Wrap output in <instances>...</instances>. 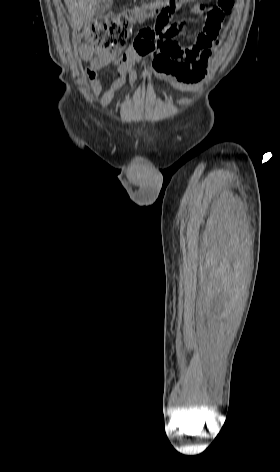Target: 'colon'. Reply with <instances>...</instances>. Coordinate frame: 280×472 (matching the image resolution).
<instances>
[{
  "label": "colon",
  "instance_id": "1",
  "mask_svg": "<svg viewBox=\"0 0 280 472\" xmlns=\"http://www.w3.org/2000/svg\"><path fill=\"white\" fill-rule=\"evenodd\" d=\"M182 3L183 0H154L138 10L95 18L86 23L77 36V42L116 56L124 50L132 23L136 19L156 17L157 22H168ZM233 4L234 0H218L216 5L208 9L206 22L212 25L222 23L224 15L231 11Z\"/></svg>",
  "mask_w": 280,
  "mask_h": 472
}]
</instances>
